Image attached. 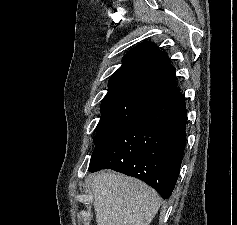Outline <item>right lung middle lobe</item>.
Here are the masks:
<instances>
[{"label": "right lung middle lobe", "mask_w": 237, "mask_h": 225, "mask_svg": "<svg viewBox=\"0 0 237 225\" xmlns=\"http://www.w3.org/2000/svg\"><path fill=\"white\" fill-rule=\"evenodd\" d=\"M124 123L125 122L118 120H100L96 127L97 135L95 138V147H97L111 132Z\"/></svg>", "instance_id": "obj_1"}]
</instances>
